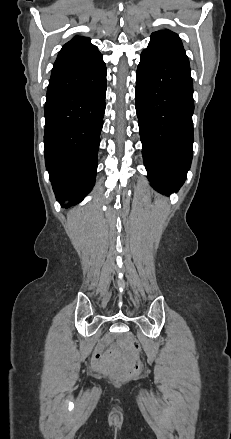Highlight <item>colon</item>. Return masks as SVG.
<instances>
[{
  "instance_id": "colon-1",
  "label": "colon",
  "mask_w": 231,
  "mask_h": 439,
  "mask_svg": "<svg viewBox=\"0 0 231 439\" xmlns=\"http://www.w3.org/2000/svg\"><path fill=\"white\" fill-rule=\"evenodd\" d=\"M130 349L134 353L132 367L130 371L121 376L122 379H131L139 374L142 369L141 345L137 340L130 341Z\"/></svg>"
}]
</instances>
